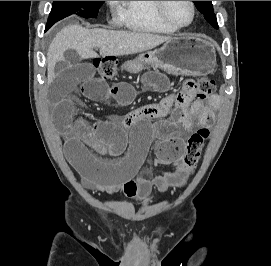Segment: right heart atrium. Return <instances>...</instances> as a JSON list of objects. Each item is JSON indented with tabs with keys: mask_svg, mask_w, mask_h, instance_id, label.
Masks as SVG:
<instances>
[{
	"mask_svg": "<svg viewBox=\"0 0 271 266\" xmlns=\"http://www.w3.org/2000/svg\"><path fill=\"white\" fill-rule=\"evenodd\" d=\"M109 4L115 5L116 1H108Z\"/></svg>",
	"mask_w": 271,
	"mask_h": 266,
	"instance_id": "right-heart-atrium-1",
	"label": "right heart atrium"
}]
</instances>
